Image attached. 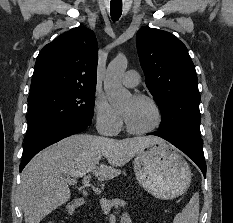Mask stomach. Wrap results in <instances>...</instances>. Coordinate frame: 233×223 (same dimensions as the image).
Returning a JSON list of instances; mask_svg holds the SVG:
<instances>
[{"label": "stomach", "mask_w": 233, "mask_h": 223, "mask_svg": "<svg viewBox=\"0 0 233 223\" xmlns=\"http://www.w3.org/2000/svg\"><path fill=\"white\" fill-rule=\"evenodd\" d=\"M133 163L141 187L158 199L179 197L191 183L192 173L187 161L165 141L141 149Z\"/></svg>", "instance_id": "1"}]
</instances>
